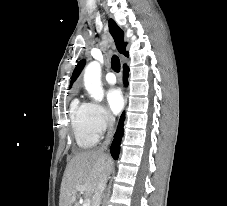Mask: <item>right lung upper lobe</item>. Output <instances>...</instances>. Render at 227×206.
Here are the masks:
<instances>
[{
  "label": "right lung upper lobe",
  "mask_w": 227,
  "mask_h": 206,
  "mask_svg": "<svg viewBox=\"0 0 227 206\" xmlns=\"http://www.w3.org/2000/svg\"><path fill=\"white\" fill-rule=\"evenodd\" d=\"M109 31L115 41L117 50L124 54L125 56H128V53L125 52L126 43L124 42V33L123 31L118 27V25L114 22V20H109ZM85 65V60H81L77 65L76 68L73 71L72 77H71V83L70 86L73 84V82L78 77L80 71Z\"/></svg>",
  "instance_id": "right-lung-upper-lobe-1"
}]
</instances>
